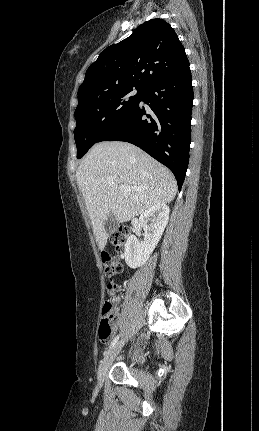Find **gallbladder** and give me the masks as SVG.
<instances>
[{"label":"gallbladder","instance_id":"obj_1","mask_svg":"<svg viewBox=\"0 0 259 431\" xmlns=\"http://www.w3.org/2000/svg\"><path fill=\"white\" fill-rule=\"evenodd\" d=\"M118 226V221L113 215H109L104 222V228L108 235L115 232Z\"/></svg>","mask_w":259,"mask_h":431}]
</instances>
